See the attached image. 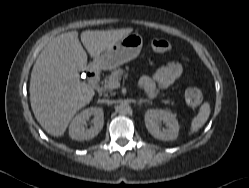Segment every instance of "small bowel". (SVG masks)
I'll return each mask as SVG.
<instances>
[{
	"mask_svg": "<svg viewBox=\"0 0 249 188\" xmlns=\"http://www.w3.org/2000/svg\"><path fill=\"white\" fill-rule=\"evenodd\" d=\"M182 70V65L179 62H168L152 76L141 77L140 86L148 96L154 97L178 80Z\"/></svg>",
	"mask_w": 249,
	"mask_h": 188,
	"instance_id": "c3829d8e",
	"label": "small bowel"
}]
</instances>
